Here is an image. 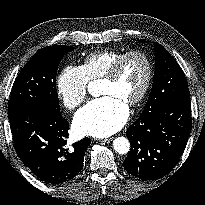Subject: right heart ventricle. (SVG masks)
I'll use <instances>...</instances> for the list:
<instances>
[{
  "label": "right heart ventricle",
  "instance_id": "1",
  "mask_svg": "<svg viewBox=\"0 0 205 205\" xmlns=\"http://www.w3.org/2000/svg\"><path fill=\"white\" fill-rule=\"evenodd\" d=\"M124 54L120 51L103 50L88 54L81 68L88 81L102 78L110 67Z\"/></svg>",
  "mask_w": 205,
  "mask_h": 205
}]
</instances>
